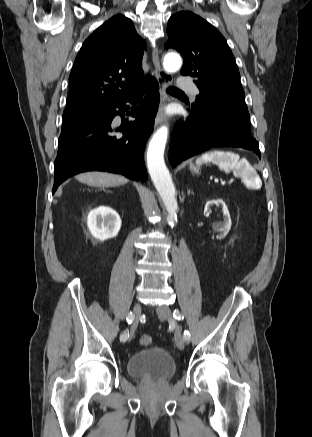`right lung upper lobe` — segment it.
Listing matches in <instances>:
<instances>
[{
	"label": "right lung upper lobe",
	"mask_w": 312,
	"mask_h": 437,
	"mask_svg": "<svg viewBox=\"0 0 312 437\" xmlns=\"http://www.w3.org/2000/svg\"><path fill=\"white\" fill-rule=\"evenodd\" d=\"M145 48L129 18L119 14L101 25L75 59L65 111L106 109L137 90L148 78L141 67Z\"/></svg>",
	"instance_id": "cb5924a9"
}]
</instances>
